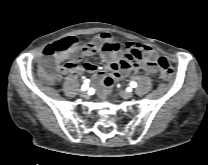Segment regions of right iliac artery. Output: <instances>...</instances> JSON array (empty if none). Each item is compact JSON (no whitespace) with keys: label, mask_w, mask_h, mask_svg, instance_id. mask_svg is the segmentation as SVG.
<instances>
[{"label":"right iliac artery","mask_w":208,"mask_h":165,"mask_svg":"<svg viewBox=\"0 0 208 165\" xmlns=\"http://www.w3.org/2000/svg\"><path fill=\"white\" fill-rule=\"evenodd\" d=\"M88 88V83H84L82 85V90L85 91Z\"/></svg>","instance_id":"obj_1"}]
</instances>
